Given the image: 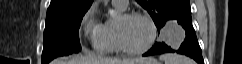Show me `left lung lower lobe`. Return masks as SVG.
<instances>
[{"mask_svg":"<svg viewBox=\"0 0 242 64\" xmlns=\"http://www.w3.org/2000/svg\"><path fill=\"white\" fill-rule=\"evenodd\" d=\"M179 25L185 30V40L179 49H172L164 42H156L155 45L143 56L159 55L163 53L183 54L193 58L198 64H204L201 48L199 46L195 30L192 26L191 13L187 12L175 18Z\"/></svg>","mask_w":242,"mask_h":64,"instance_id":"obj_1","label":"left lung lower lobe"}]
</instances>
